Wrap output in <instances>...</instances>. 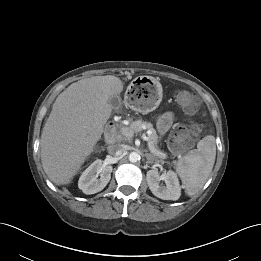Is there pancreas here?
<instances>
[{
  "label": "pancreas",
  "mask_w": 261,
  "mask_h": 261,
  "mask_svg": "<svg viewBox=\"0 0 261 261\" xmlns=\"http://www.w3.org/2000/svg\"><path fill=\"white\" fill-rule=\"evenodd\" d=\"M127 128L133 134L141 132L144 129L149 131V142L154 150H151L152 155L150 156L152 159H165L166 154H164L160 148L158 147V135L156 130L153 128V125L149 122H144L142 120L133 121ZM122 133V132H121ZM129 139V137H127Z\"/></svg>",
  "instance_id": "cf45deb5"
}]
</instances>
